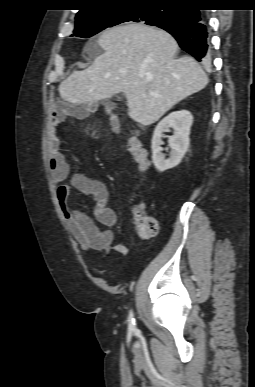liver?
Masks as SVG:
<instances>
[{
    "label": "liver",
    "instance_id": "liver-1",
    "mask_svg": "<svg viewBox=\"0 0 255 387\" xmlns=\"http://www.w3.org/2000/svg\"><path fill=\"white\" fill-rule=\"evenodd\" d=\"M98 45L104 52L60 83L64 102L80 105L123 93L129 117L148 126L208 83L192 57H176L178 44L162 29L141 23L116 26L100 35Z\"/></svg>",
    "mask_w": 255,
    "mask_h": 387
}]
</instances>
